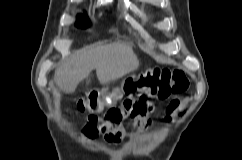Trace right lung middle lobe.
<instances>
[{
	"label": "right lung middle lobe",
	"mask_w": 242,
	"mask_h": 160,
	"mask_svg": "<svg viewBox=\"0 0 242 160\" xmlns=\"http://www.w3.org/2000/svg\"><path fill=\"white\" fill-rule=\"evenodd\" d=\"M88 24H89V22L87 21L86 18H84L83 16H79L77 26L84 28V27H87Z\"/></svg>",
	"instance_id": "dd1d6c3e"
}]
</instances>
